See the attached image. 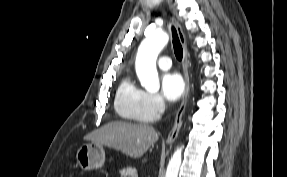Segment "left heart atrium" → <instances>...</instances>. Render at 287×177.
Wrapping results in <instances>:
<instances>
[{
	"instance_id": "obj_1",
	"label": "left heart atrium",
	"mask_w": 287,
	"mask_h": 177,
	"mask_svg": "<svg viewBox=\"0 0 287 177\" xmlns=\"http://www.w3.org/2000/svg\"><path fill=\"white\" fill-rule=\"evenodd\" d=\"M185 90V83L178 73H166L162 77L161 92L163 97L173 102L179 99Z\"/></svg>"
}]
</instances>
